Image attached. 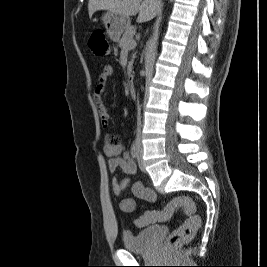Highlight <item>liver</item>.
<instances>
[{
  "label": "liver",
  "mask_w": 267,
  "mask_h": 267,
  "mask_svg": "<svg viewBox=\"0 0 267 267\" xmlns=\"http://www.w3.org/2000/svg\"><path fill=\"white\" fill-rule=\"evenodd\" d=\"M159 9V0H89L88 3L90 18L98 10H107L125 17L138 14V23L152 20Z\"/></svg>",
  "instance_id": "liver-1"
}]
</instances>
